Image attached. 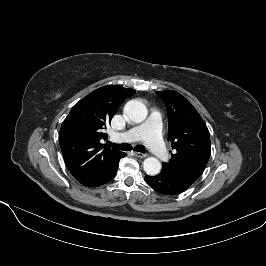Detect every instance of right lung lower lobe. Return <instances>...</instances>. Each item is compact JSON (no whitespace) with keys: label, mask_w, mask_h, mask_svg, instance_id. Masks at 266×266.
Listing matches in <instances>:
<instances>
[{"label":"right lung lower lobe","mask_w":266,"mask_h":266,"mask_svg":"<svg viewBox=\"0 0 266 266\" xmlns=\"http://www.w3.org/2000/svg\"><path fill=\"white\" fill-rule=\"evenodd\" d=\"M124 156H125V154L123 153L119 157V159L117 161H115L113 163V165L104 173L100 174L99 176H97V177H95V178H93L87 182L81 183V184L86 186V187H97V186L103 185V184L107 183L108 181L112 180L117 173L119 160L121 158H123Z\"/></svg>","instance_id":"98d812e1"}]
</instances>
